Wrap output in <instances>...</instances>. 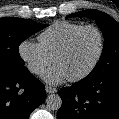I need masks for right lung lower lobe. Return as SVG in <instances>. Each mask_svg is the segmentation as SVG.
<instances>
[{
  "label": "right lung lower lobe",
  "instance_id": "right-lung-lower-lobe-1",
  "mask_svg": "<svg viewBox=\"0 0 119 119\" xmlns=\"http://www.w3.org/2000/svg\"><path fill=\"white\" fill-rule=\"evenodd\" d=\"M45 98V86L25 66L0 68V119H28Z\"/></svg>",
  "mask_w": 119,
  "mask_h": 119
}]
</instances>
